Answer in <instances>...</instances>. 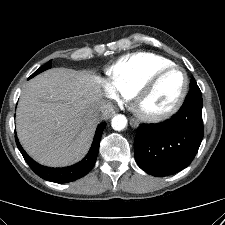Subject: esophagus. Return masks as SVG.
I'll use <instances>...</instances> for the list:
<instances>
[{"label": "esophagus", "instance_id": "1", "mask_svg": "<svg viewBox=\"0 0 225 225\" xmlns=\"http://www.w3.org/2000/svg\"><path fill=\"white\" fill-rule=\"evenodd\" d=\"M130 125L133 127V128H137L139 126V123L136 119L134 118H130Z\"/></svg>", "mask_w": 225, "mask_h": 225}]
</instances>
